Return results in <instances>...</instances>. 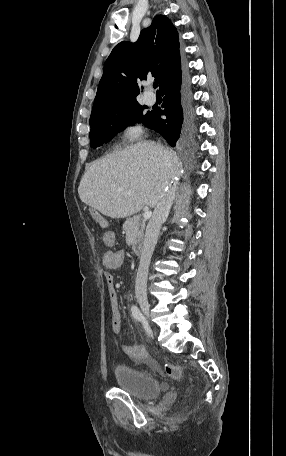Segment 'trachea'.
Listing matches in <instances>:
<instances>
[{"label": "trachea", "mask_w": 286, "mask_h": 456, "mask_svg": "<svg viewBox=\"0 0 286 456\" xmlns=\"http://www.w3.org/2000/svg\"><path fill=\"white\" fill-rule=\"evenodd\" d=\"M153 87H154V88H157V87H158V83H157V82H154V83H153Z\"/></svg>", "instance_id": "3493384b"}]
</instances>
